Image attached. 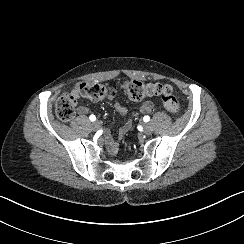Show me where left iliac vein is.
Instances as JSON below:
<instances>
[{"instance_id":"4c4485c4","label":"left iliac vein","mask_w":244,"mask_h":244,"mask_svg":"<svg viewBox=\"0 0 244 244\" xmlns=\"http://www.w3.org/2000/svg\"><path fill=\"white\" fill-rule=\"evenodd\" d=\"M151 131H152V129H151L150 124H149V123H144V124H143V132H144L145 134H150Z\"/></svg>"}]
</instances>
